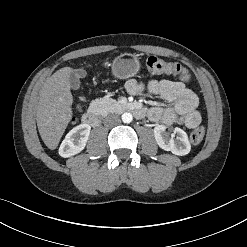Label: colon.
I'll return each mask as SVG.
<instances>
[{
	"label": "colon",
	"mask_w": 247,
	"mask_h": 247,
	"mask_svg": "<svg viewBox=\"0 0 247 247\" xmlns=\"http://www.w3.org/2000/svg\"><path fill=\"white\" fill-rule=\"evenodd\" d=\"M147 69L152 74H172L179 76L182 80H189V73L185 67L176 62H167L156 56H150L146 61ZM205 135V128L197 126L191 133L190 138L194 144H199Z\"/></svg>",
	"instance_id": "5ec220e1"
}]
</instances>
